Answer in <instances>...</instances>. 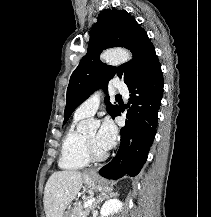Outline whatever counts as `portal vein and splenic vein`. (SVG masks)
<instances>
[{
  "instance_id": "18ae733b",
  "label": "portal vein and splenic vein",
  "mask_w": 211,
  "mask_h": 217,
  "mask_svg": "<svg viewBox=\"0 0 211 217\" xmlns=\"http://www.w3.org/2000/svg\"><path fill=\"white\" fill-rule=\"evenodd\" d=\"M95 201V198H90L89 200H87L85 203H84V208H88L89 206H91L93 204V202Z\"/></svg>"
}]
</instances>
